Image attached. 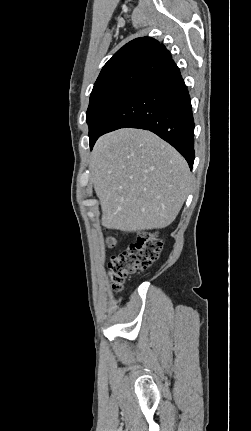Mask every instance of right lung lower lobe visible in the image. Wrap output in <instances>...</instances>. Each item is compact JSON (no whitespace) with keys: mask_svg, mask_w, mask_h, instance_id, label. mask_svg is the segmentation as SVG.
<instances>
[{"mask_svg":"<svg viewBox=\"0 0 251 431\" xmlns=\"http://www.w3.org/2000/svg\"><path fill=\"white\" fill-rule=\"evenodd\" d=\"M149 130L194 162V120L190 96L180 70L165 48L156 52L132 91L100 135L119 128ZM98 137L90 143L92 148Z\"/></svg>","mask_w":251,"mask_h":431,"instance_id":"obj_1","label":"right lung lower lobe"}]
</instances>
